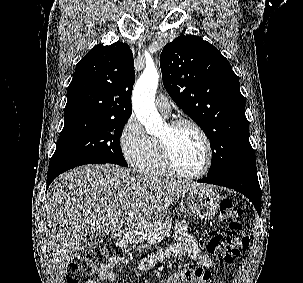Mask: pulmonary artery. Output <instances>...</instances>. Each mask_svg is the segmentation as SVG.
I'll return each instance as SVG.
<instances>
[{
    "label": "pulmonary artery",
    "instance_id": "obj_1",
    "mask_svg": "<svg viewBox=\"0 0 303 283\" xmlns=\"http://www.w3.org/2000/svg\"><path fill=\"white\" fill-rule=\"evenodd\" d=\"M156 106L163 115L169 116L171 114V104L165 95L157 96Z\"/></svg>",
    "mask_w": 303,
    "mask_h": 283
}]
</instances>
